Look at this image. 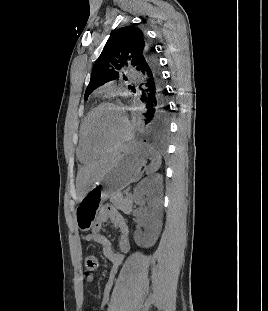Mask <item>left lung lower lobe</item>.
<instances>
[{"mask_svg": "<svg viewBox=\"0 0 268 311\" xmlns=\"http://www.w3.org/2000/svg\"><path fill=\"white\" fill-rule=\"evenodd\" d=\"M141 75L139 88L145 109L141 122L135 132V141H167L169 139V106L166 104V90L157 57L148 48L147 59L139 63L137 70Z\"/></svg>", "mask_w": 268, "mask_h": 311, "instance_id": "obj_1", "label": "left lung lower lobe"}]
</instances>
